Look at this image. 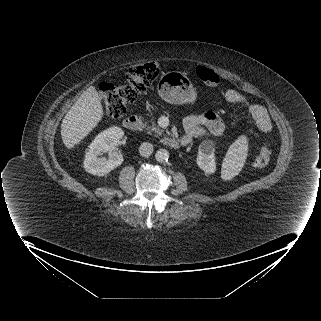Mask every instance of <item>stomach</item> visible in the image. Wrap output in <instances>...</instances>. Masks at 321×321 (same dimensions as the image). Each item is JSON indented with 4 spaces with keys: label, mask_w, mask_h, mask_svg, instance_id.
<instances>
[{
    "label": "stomach",
    "mask_w": 321,
    "mask_h": 321,
    "mask_svg": "<svg viewBox=\"0 0 321 321\" xmlns=\"http://www.w3.org/2000/svg\"><path fill=\"white\" fill-rule=\"evenodd\" d=\"M158 94L162 100L170 104L194 103L197 98L192 83L179 71H170L161 76Z\"/></svg>",
    "instance_id": "obj_1"
}]
</instances>
